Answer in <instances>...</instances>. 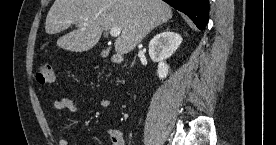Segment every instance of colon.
Here are the masks:
<instances>
[{
	"instance_id": "1",
	"label": "colon",
	"mask_w": 276,
	"mask_h": 145,
	"mask_svg": "<svg viewBox=\"0 0 276 145\" xmlns=\"http://www.w3.org/2000/svg\"><path fill=\"white\" fill-rule=\"evenodd\" d=\"M56 72L51 64H44L39 67L36 79L42 85H51L56 81Z\"/></svg>"
}]
</instances>
